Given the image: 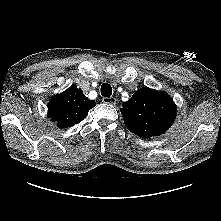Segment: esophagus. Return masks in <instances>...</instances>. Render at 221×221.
Segmentation results:
<instances>
[{
  "instance_id": "obj_1",
  "label": "esophagus",
  "mask_w": 221,
  "mask_h": 221,
  "mask_svg": "<svg viewBox=\"0 0 221 221\" xmlns=\"http://www.w3.org/2000/svg\"><path fill=\"white\" fill-rule=\"evenodd\" d=\"M102 102L105 104H115L116 103V98L114 97H103Z\"/></svg>"
}]
</instances>
